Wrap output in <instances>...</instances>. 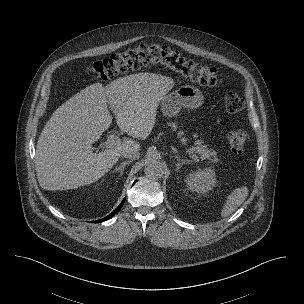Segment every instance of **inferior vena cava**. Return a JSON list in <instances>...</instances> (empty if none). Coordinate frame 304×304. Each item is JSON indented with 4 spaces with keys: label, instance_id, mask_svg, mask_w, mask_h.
<instances>
[{
    "label": "inferior vena cava",
    "instance_id": "inferior-vena-cava-1",
    "mask_svg": "<svg viewBox=\"0 0 304 304\" xmlns=\"http://www.w3.org/2000/svg\"><path fill=\"white\" fill-rule=\"evenodd\" d=\"M121 156L129 159H138L140 156V152L137 149H129L127 151H123Z\"/></svg>",
    "mask_w": 304,
    "mask_h": 304
}]
</instances>
